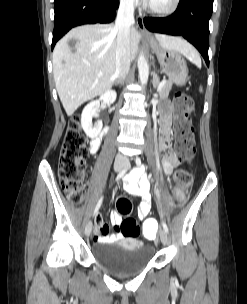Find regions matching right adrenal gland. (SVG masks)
I'll return each instance as SVG.
<instances>
[{
  "instance_id": "obj_1",
  "label": "right adrenal gland",
  "mask_w": 247,
  "mask_h": 304,
  "mask_svg": "<svg viewBox=\"0 0 247 304\" xmlns=\"http://www.w3.org/2000/svg\"><path fill=\"white\" fill-rule=\"evenodd\" d=\"M121 83H122V81H120V80H118V79H116V80L113 82L114 85H119V84H121Z\"/></svg>"
}]
</instances>
